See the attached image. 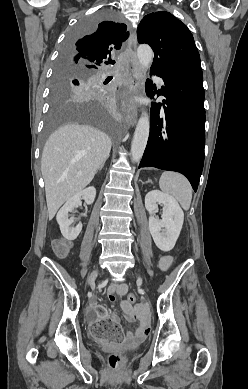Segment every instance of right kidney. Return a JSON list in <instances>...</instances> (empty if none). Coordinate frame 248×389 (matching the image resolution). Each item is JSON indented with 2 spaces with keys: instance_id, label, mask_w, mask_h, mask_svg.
Masks as SVG:
<instances>
[{
  "instance_id": "right-kidney-1",
  "label": "right kidney",
  "mask_w": 248,
  "mask_h": 389,
  "mask_svg": "<svg viewBox=\"0 0 248 389\" xmlns=\"http://www.w3.org/2000/svg\"><path fill=\"white\" fill-rule=\"evenodd\" d=\"M95 196L96 189L94 187H88L67 200L64 206L57 213L56 220L59 224L61 233L66 240H75L82 230L81 223L75 227H71L73 221L68 218V214L79 205L81 198H84L86 204L90 205L94 202Z\"/></svg>"
}]
</instances>
